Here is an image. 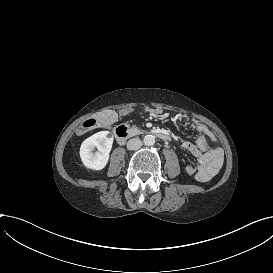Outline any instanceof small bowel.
<instances>
[{
  "label": "small bowel",
  "instance_id": "c3829d8e",
  "mask_svg": "<svg viewBox=\"0 0 273 273\" xmlns=\"http://www.w3.org/2000/svg\"><path fill=\"white\" fill-rule=\"evenodd\" d=\"M117 119V113L103 112L97 118L86 121L81 132H88L94 128H110ZM193 128L198 132L195 143L183 142L182 148L198 159L199 168L196 178L205 182L220 169L224 154L221 148L210 147L209 140H214V135L206 125L194 122ZM186 172L192 175L195 173V169L192 166H187Z\"/></svg>",
  "mask_w": 273,
  "mask_h": 273
}]
</instances>
